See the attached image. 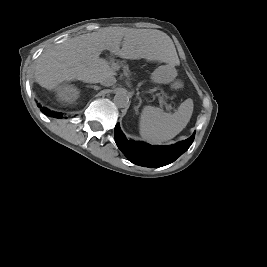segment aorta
<instances>
[{"instance_id": "1", "label": "aorta", "mask_w": 267, "mask_h": 267, "mask_svg": "<svg viewBox=\"0 0 267 267\" xmlns=\"http://www.w3.org/2000/svg\"><path fill=\"white\" fill-rule=\"evenodd\" d=\"M114 105L118 108H124L129 102V96L126 91L122 90L116 93L113 99Z\"/></svg>"}]
</instances>
